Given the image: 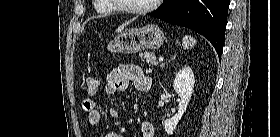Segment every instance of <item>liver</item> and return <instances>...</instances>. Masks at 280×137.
Instances as JSON below:
<instances>
[{
  "label": "liver",
  "mask_w": 280,
  "mask_h": 137,
  "mask_svg": "<svg viewBox=\"0 0 280 137\" xmlns=\"http://www.w3.org/2000/svg\"><path fill=\"white\" fill-rule=\"evenodd\" d=\"M124 26H125V24L121 25V26L117 29V31H120Z\"/></svg>",
  "instance_id": "1"
}]
</instances>
